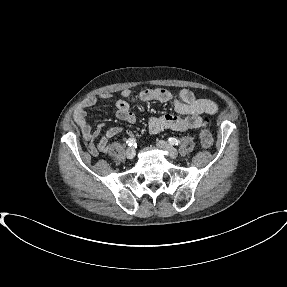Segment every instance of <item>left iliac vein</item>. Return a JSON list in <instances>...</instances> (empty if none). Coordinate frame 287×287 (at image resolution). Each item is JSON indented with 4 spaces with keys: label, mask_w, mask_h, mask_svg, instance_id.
I'll use <instances>...</instances> for the list:
<instances>
[{
    "label": "left iliac vein",
    "mask_w": 287,
    "mask_h": 287,
    "mask_svg": "<svg viewBox=\"0 0 287 287\" xmlns=\"http://www.w3.org/2000/svg\"><path fill=\"white\" fill-rule=\"evenodd\" d=\"M157 146L160 149L166 151L170 158H172V159L177 158V156H178L177 150L174 147H172L170 144H168L167 142L160 140L157 142Z\"/></svg>",
    "instance_id": "obj_1"
}]
</instances>
